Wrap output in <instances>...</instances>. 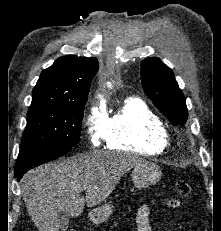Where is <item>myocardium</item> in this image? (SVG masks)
I'll return each mask as SVG.
<instances>
[{
	"label": "myocardium",
	"instance_id": "1",
	"mask_svg": "<svg viewBox=\"0 0 221 231\" xmlns=\"http://www.w3.org/2000/svg\"><path fill=\"white\" fill-rule=\"evenodd\" d=\"M168 141V137H166V142Z\"/></svg>",
	"mask_w": 221,
	"mask_h": 231
}]
</instances>
